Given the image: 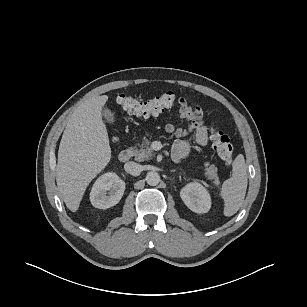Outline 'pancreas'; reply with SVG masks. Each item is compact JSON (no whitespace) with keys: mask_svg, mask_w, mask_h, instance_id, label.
<instances>
[{"mask_svg":"<svg viewBox=\"0 0 307 307\" xmlns=\"http://www.w3.org/2000/svg\"><path fill=\"white\" fill-rule=\"evenodd\" d=\"M150 141L145 140L141 145L140 149H137L136 147L133 148L135 160L137 161H145L149 160L152 157L155 156L153 150L151 149ZM205 166V175L213 180V184L218 186L220 185V181L217 176V167H215L214 164L210 165L208 162L204 163Z\"/></svg>","mask_w":307,"mask_h":307,"instance_id":"1","label":"pancreas"}]
</instances>
